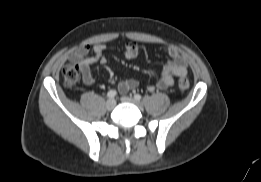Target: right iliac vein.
I'll list each match as a JSON object with an SVG mask.
<instances>
[{
    "mask_svg": "<svg viewBox=\"0 0 261 182\" xmlns=\"http://www.w3.org/2000/svg\"><path fill=\"white\" fill-rule=\"evenodd\" d=\"M105 106H106L107 110H113L115 108V106H116V102H115L114 99H108L106 101Z\"/></svg>",
    "mask_w": 261,
    "mask_h": 182,
    "instance_id": "63e3f726",
    "label": "right iliac vein"
}]
</instances>
